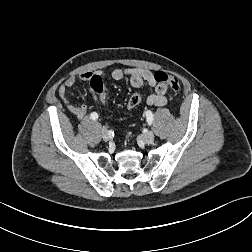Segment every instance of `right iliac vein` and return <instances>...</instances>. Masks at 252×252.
<instances>
[{"mask_svg":"<svg viewBox=\"0 0 252 252\" xmlns=\"http://www.w3.org/2000/svg\"><path fill=\"white\" fill-rule=\"evenodd\" d=\"M102 138H103L104 141H108L110 139V135H109V133L107 132L106 129L102 130Z\"/></svg>","mask_w":252,"mask_h":252,"instance_id":"obj_1","label":"right iliac vein"}]
</instances>
